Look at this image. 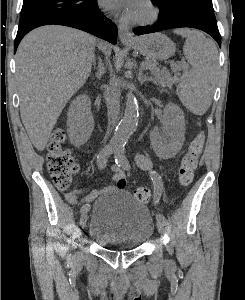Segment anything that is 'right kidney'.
<instances>
[{"label":"right kidney","instance_id":"ca27d5eb","mask_svg":"<svg viewBox=\"0 0 245 300\" xmlns=\"http://www.w3.org/2000/svg\"><path fill=\"white\" fill-rule=\"evenodd\" d=\"M67 133L73 145L79 147L90 138L94 119L91 113V101L87 95L78 96L68 110Z\"/></svg>","mask_w":245,"mask_h":300}]
</instances>
